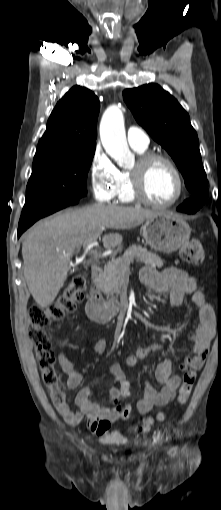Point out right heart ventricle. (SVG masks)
<instances>
[{"label":"right heart ventricle","mask_w":221,"mask_h":510,"mask_svg":"<svg viewBox=\"0 0 221 510\" xmlns=\"http://www.w3.org/2000/svg\"><path fill=\"white\" fill-rule=\"evenodd\" d=\"M133 149L140 155H143L146 153L147 148L141 149V148H135ZM120 174V186L117 192V197L120 201L125 203H130L134 201V198L132 196L131 192V186H130V178H129V172L126 170L119 171Z\"/></svg>","instance_id":"1"}]
</instances>
